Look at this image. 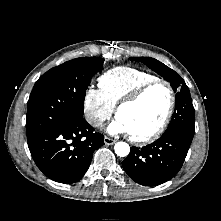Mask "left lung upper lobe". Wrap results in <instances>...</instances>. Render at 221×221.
<instances>
[{"label": "left lung upper lobe", "mask_w": 221, "mask_h": 221, "mask_svg": "<svg viewBox=\"0 0 221 221\" xmlns=\"http://www.w3.org/2000/svg\"><path fill=\"white\" fill-rule=\"evenodd\" d=\"M130 60L143 62L150 69L171 83L176 92L175 111L165 134L181 132L194 136L195 109L190 91L184 80L172 69L160 61L149 57H132Z\"/></svg>", "instance_id": "1"}]
</instances>
